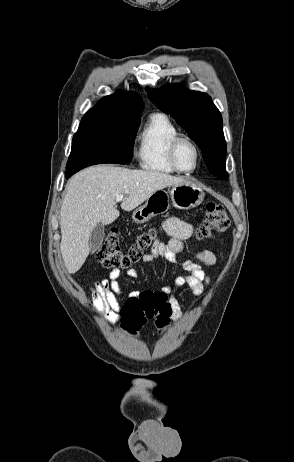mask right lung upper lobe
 Instances as JSON below:
<instances>
[{
	"label": "right lung upper lobe",
	"instance_id": "1",
	"mask_svg": "<svg viewBox=\"0 0 294 462\" xmlns=\"http://www.w3.org/2000/svg\"><path fill=\"white\" fill-rule=\"evenodd\" d=\"M144 109L141 96L135 92L119 90L113 95L103 97L98 104L87 113H108L122 116H136Z\"/></svg>",
	"mask_w": 294,
	"mask_h": 462
}]
</instances>
